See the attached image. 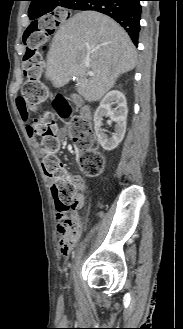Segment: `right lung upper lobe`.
I'll return each instance as SVG.
<instances>
[{"label":"right lung upper lobe","instance_id":"1","mask_svg":"<svg viewBox=\"0 0 183 329\" xmlns=\"http://www.w3.org/2000/svg\"><path fill=\"white\" fill-rule=\"evenodd\" d=\"M31 5L29 7V17L31 20H35L46 13L53 14V10L56 7H65L69 5L72 0H30Z\"/></svg>","mask_w":183,"mask_h":329}]
</instances>
